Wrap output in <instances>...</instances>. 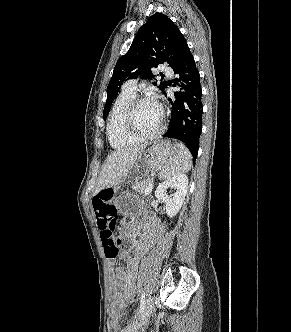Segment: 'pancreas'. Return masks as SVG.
Returning <instances> with one entry per match:
<instances>
[{"label":"pancreas","instance_id":"1","mask_svg":"<svg viewBox=\"0 0 291 332\" xmlns=\"http://www.w3.org/2000/svg\"><path fill=\"white\" fill-rule=\"evenodd\" d=\"M151 183H152V179L149 178V179L141 181V182H135L134 184H132V188L139 194H144L147 187Z\"/></svg>","mask_w":291,"mask_h":332}]
</instances>
